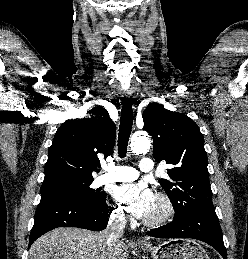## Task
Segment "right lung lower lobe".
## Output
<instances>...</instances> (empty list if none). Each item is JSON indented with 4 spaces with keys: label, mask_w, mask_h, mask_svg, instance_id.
I'll use <instances>...</instances> for the list:
<instances>
[{
    "label": "right lung lower lobe",
    "mask_w": 248,
    "mask_h": 259,
    "mask_svg": "<svg viewBox=\"0 0 248 259\" xmlns=\"http://www.w3.org/2000/svg\"><path fill=\"white\" fill-rule=\"evenodd\" d=\"M106 195L99 201L77 199L69 196H46L36 209L29 246L42 234L58 227H78L92 231L106 228L108 213Z\"/></svg>",
    "instance_id": "1"
}]
</instances>
